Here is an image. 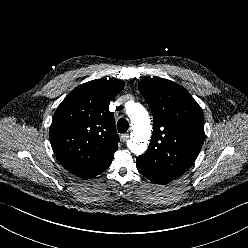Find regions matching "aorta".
<instances>
[{
	"label": "aorta",
	"instance_id": "aorta-1",
	"mask_svg": "<svg viewBox=\"0 0 248 248\" xmlns=\"http://www.w3.org/2000/svg\"><path fill=\"white\" fill-rule=\"evenodd\" d=\"M127 114L131 121L132 133L128 143L129 149L136 155H141L147 148L151 135V122L147 110L139 103H133Z\"/></svg>",
	"mask_w": 248,
	"mask_h": 248
}]
</instances>
